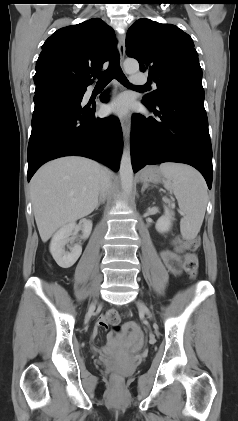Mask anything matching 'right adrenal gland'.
<instances>
[{
  "instance_id": "obj_1",
  "label": "right adrenal gland",
  "mask_w": 238,
  "mask_h": 421,
  "mask_svg": "<svg viewBox=\"0 0 238 421\" xmlns=\"http://www.w3.org/2000/svg\"><path fill=\"white\" fill-rule=\"evenodd\" d=\"M104 202H105V197L100 198V199H99V201H98V203H97L96 209H98V207H99L101 204H103Z\"/></svg>"
}]
</instances>
